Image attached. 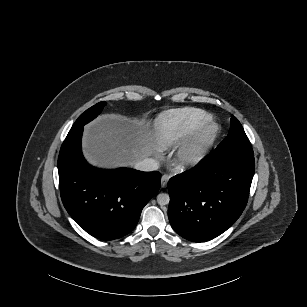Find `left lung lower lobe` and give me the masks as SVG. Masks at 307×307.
I'll return each mask as SVG.
<instances>
[{"label":"left lung lower lobe","instance_id":"0a47b994","mask_svg":"<svg viewBox=\"0 0 307 307\" xmlns=\"http://www.w3.org/2000/svg\"><path fill=\"white\" fill-rule=\"evenodd\" d=\"M254 156L214 151L168 182V217L183 238L205 242L225 232L242 214L254 175Z\"/></svg>","mask_w":307,"mask_h":307}]
</instances>
